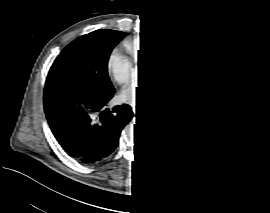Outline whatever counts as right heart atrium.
I'll return each mask as SVG.
<instances>
[{"mask_svg":"<svg viewBox=\"0 0 270 213\" xmlns=\"http://www.w3.org/2000/svg\"><path fill=\"white\" fill-rule=\"evenodd\" d=\"M113 68L117 79L122 83L128 82L134 73L132 63L125 58L122 60L115 58L113 60Z\"/></svg>","mask_w":270,"mask_h":213,"instance_id":"obj_1","label":"right heart atrium"}]
</instances>
